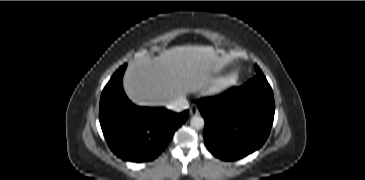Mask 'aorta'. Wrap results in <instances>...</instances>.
Masks as SVG:
<instances>
[{"mask_svg": "<svg viewBox=\"0 0 365 180\" xmlns=\"http://www.w3.org/2000/svg\"><path fill=\"white\" fill-rule=\"evenodd\" d=\"M205 121L203 119V117L195 115L191 118L190 120V125L191 127H193L194 129H202L204 127Z\"/></svg>", "mask_w": 365, "mask_h": 180, "instance_id": "762f6f07", "label": "aorta"}]
</instances>
